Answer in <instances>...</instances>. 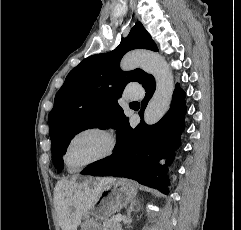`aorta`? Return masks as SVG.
Instances as JSON below:
<instances>
[{
	"label": "aorta",
	"mask_w": 241,
	"mask_h": 230,
	"mask_svg": "<svg viewBox=\"0 0 241 230\" xmlns=\"http://www.w3.org/2000/svg\"><path fill=\"white\" fill-rule=\"evenodd\" d=\"M122 71H131L142 67L151 74L156 81V90L144 112V121L147 125L157 123L170 107L174 91L172 71L166 60L152 52H130L121 60Z\"/></svg>",
	"instance_id": "obj_1"
}]
</instances>
